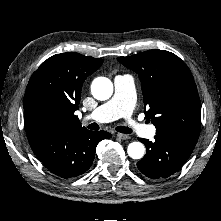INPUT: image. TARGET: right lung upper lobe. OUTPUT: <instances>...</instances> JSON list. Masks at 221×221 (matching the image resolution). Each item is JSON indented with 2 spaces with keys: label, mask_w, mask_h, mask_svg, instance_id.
<instances>
[{
  "label": "right lung upper lobe",
  "mask_w": 221,
  "mask_h": 221,
  "mask_svg": "<svg viewBox=\"0 0 221 221\" xmlns=\"http://www.w3.org/2000/svg\"><path fill=\"white\" fill-rule=\"evenodd\" d=\"M102 59L75 52L54 55L31 76L23 99L26 133L37 129L82 130L78 117L84 80L101 67Z\"/></svg>",
  "instance_id": "cb5924a9"
}]
</instances>
